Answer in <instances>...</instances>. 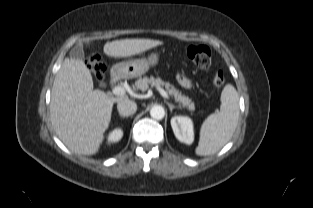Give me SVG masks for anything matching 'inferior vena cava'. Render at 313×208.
<instances>
[{"mask_svg": "<svg viewBox=\"0 0 313 208\" xmlns=\"http://www.w3.org/2000/svg\"><path fill=\"white\" fill-rule=\"evenodd\" d=\"M117 109L119 114L124 116H130L136 112L137 105L135 102L129 99H124L117 103Z\"/></svg>", "mask_w": 313, "mask_h": 208, "instance_id": "1", "label": "inferior vena cava"}]
</instances>
